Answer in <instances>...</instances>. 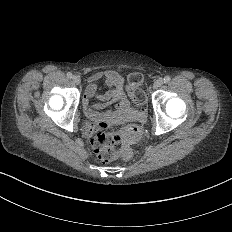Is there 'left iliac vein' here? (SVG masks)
<instances>
[{
	"instance_id": "4c4485c4",
	"label": "left iliac vein",
	"mask_w": 232,
	"mask_h": 232,
	"mask_svg": "<svg viewBox=\"0 0 232 232\" xmlns=\"http://www.w3.org/2000/svg\"><path fill=\"white\" fill-rule=\"evenodd\" d=\"M162 84H163V79H162V78H157V79L155 80L154 87H155L156 89H159V88L162 86Z\"/></svg>"
}]
</instances>
